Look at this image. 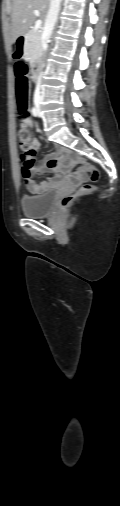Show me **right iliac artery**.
Returning a JSON list of instances; mask_svg holds the SVG:
<instances>
[{
	"label": "right iliac artery",
	"instance_id": "obj_1",
	"mask_svg": "<svg viewBox=\"0 0 120 506\" xmlns=\"http://www.w3.org/2000/svg\"><path fill=\"white\" fill-rule=\"evenodd\" d=\"M31 112H32L33 116H35V117L38 116V110H37L36 107H33L32 110H31Z\"/></svg>",
	"mask_w": 120,
	"mask_h": 506
}]
</instances>
